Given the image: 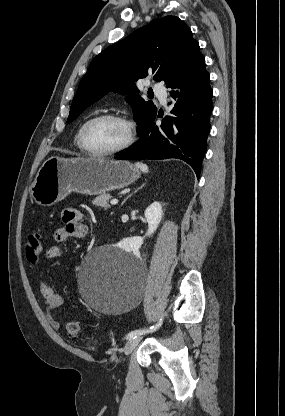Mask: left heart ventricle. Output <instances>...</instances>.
Masks as SVG:
<instances>
[{
  "instance_id": "b2bd125f",
  "label": "left heart ventricle",
  "mask_w": 285,
  "mask_h": 416,
  "mask_svg": "<svg viewBox=\"0 0 285 416\" xmlns=\"http://www.w3.org/2000/svg\"><path fill=\"white\" fill-rule=\"evenodd\" d=\"M125 139V130L121 124L111 119L93 121L85 131V141L89 148L96 151L111 150Z\"/></svg>"
}]
</instances>
